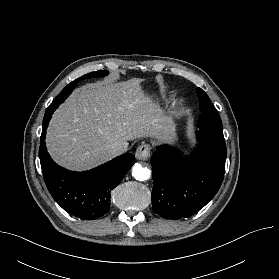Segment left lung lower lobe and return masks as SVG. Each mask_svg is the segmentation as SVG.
<instances>
[{
	"mask_svg": "<svg viewBox=\"0 0 279 279\" xmlns=\"http://www.w3.org/2000/svg\"><path fill=\"white\" fill-rule=\"evenodd\" d=\"M198 152L182 158L169 146L156 148L151 157L153 210L166 219L198 212L219 190L225 173V142L196 132Z\"/></svg>",
	"mask_w": 279,
	"mask_h": 279,
	"instance_id": "1",
	"label": "left lung lower lobe"
}]
</instances>
